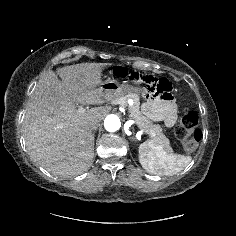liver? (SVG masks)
<instances>
[{"label":"liver","instance_id":"1","mask_svg":"<svg viewBox=\"0 0 236 236\" xmlns=\"http://www.w3.org/2000/svg\"><path fill=\"white\" fill-rule=\"evenodd\" d=\"M110 63H81L45 72L27 103L24 138L31 158L53 175L85 172L94 157L92 120L102 121L110 101L100 85ZM61 80L58 79V76ZM76 104L100 105L83 113Z\"/></svg>","mask_w":236,"mask_h":236}]
</instances>
